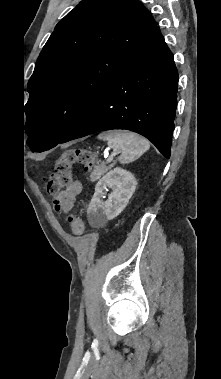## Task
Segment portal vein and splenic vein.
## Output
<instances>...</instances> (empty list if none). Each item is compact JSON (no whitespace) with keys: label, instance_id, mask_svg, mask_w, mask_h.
Masks as SVG:
<instances>
[{"label":"portal vein and splenic vein","instance_id":"18ae733b","mask_svg":"<svg viewBox=\"0 0 221 379\" xmlns=\"http://www.w3.org/2000/svg\"><path fill=\"white\" fill-rule=\"evenodd\" d=\"M113 160V156H108V158L106 159V162H112Z\"/></svg>","mask_w":221,"mask_h":379}]
</instances>
